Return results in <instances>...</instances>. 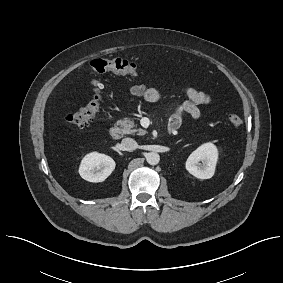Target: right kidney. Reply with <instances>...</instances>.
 Wrapping results in <instances>:
<instances>
[{
	"instance_id": "obj_1",
	"label": "right kidney",
	"mask_w": 283,
	"mask_h": 283,
	"mask_svg": "<svg viewBox=\"0 0 283 283\" xmlns=\"http://www.w3.org/2000/svg\"><path fill=\"white\" fill-rule=\"evenodd\" d=\"M114 169L115 161L111 157L92 152L81 161L79 174L84 180L97 183L104 181Z\"/></svg>"
}]
</instances>
